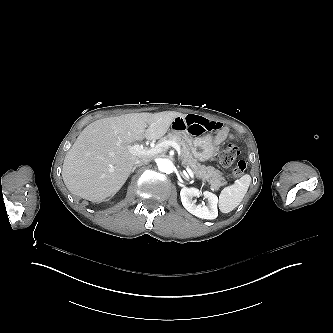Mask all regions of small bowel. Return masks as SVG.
Returning a JSON list of instances; mask_svg holds the SVG:
<instances>
[{
    "mask_svg": "<svg viewBox=\"0 0 333 333\" xmlns=\"http://www.w3.org/2000/svg\"><path fill=\"white\" fill-rule=\"evenodd\" d=\"M172 127L177 131L194 135L202 134L208 130L210 135L218 134L224 139V124L221 121H211L198 115L186 114L177 117L173 120Z\"/></svg>",
    "mask_w": 333,
    "mask_h": 333,
    "instance_id": "1",
    "label": "small bowel"
}]
</instances>
